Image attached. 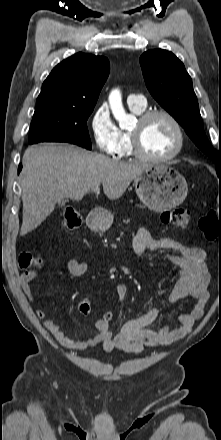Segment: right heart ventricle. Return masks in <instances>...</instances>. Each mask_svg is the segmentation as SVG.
<instances>
[{
	"label": "right heart ventricle",
	"instance_id": "e07e8e85",
	"mask_svg": "<svg viewBox=\"0 0 221 440\" xmlns=\"http://www.w3.org/2000/svg\"><path fill=\"white\" fill-rule=\"evenodd\" d=\"M129 107H130L131 111L135 114L143 113L144 108H145V107H137V106H131V105H129ZM121 135H122V145H121V148H120L119 152L117 153V155L119 157L130 156L133 154L130 133L127 131H121Z\"/></svg>",
	"mask_w": 221,
	"mask_h": 440
}]
</instances>
